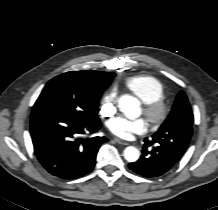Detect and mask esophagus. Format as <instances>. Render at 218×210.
Listing matches in <instances>:
<instances>
[{
    "label": "esophagus",
    "instance_id": "obj_1",
    "mask_svg": "<svg viewBox=\"0 0 218 210\" xmlns=\"http://www.w3.org/2000/svg\"><path fill=\"white\" fill-rule=\"evenodd\" d=\"M114 140H115V142H117L118 144L125 145V146L129 145L128 142H126V141H124V140H122V139H120V138H114Z\"/></svg>",
    "mask_w": 218,
    "mask_h": 210
}]
</instances>
